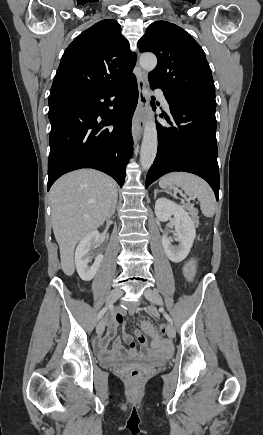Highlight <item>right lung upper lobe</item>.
I'll list each match as a JSON object with an SVG mask.
<instances>
[{"mask_svg":"<svg viewBox=\"0 0 263 435\" xmlns=\"http://www.w3.org/2000/svg\"><path fill=\"white\" fill-rule=\"evenodd\" d=\"M114 19L82 32L65 50L49 96V105L80 99L133 75L136 54Z\"/></svg>","mask_w":263,"mask_h":435,"instance_id":"obj_1","label":"right lung upper lobe"}]
</instances>
